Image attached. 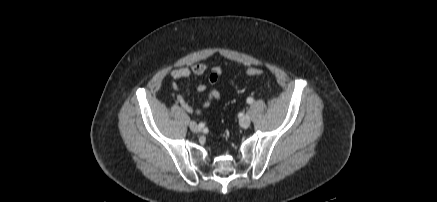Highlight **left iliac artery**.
Here are the masks:
<instances>
[{"label":"left iliac artery","instance_id":"44dca946","mask_svg":"<svg viewBox=\"0 0 437 202\" xmlns=\"http://www.w3.org/2000/svg\"><path fill=\"white\" fill-rule=\"evenodd\" d=\"M247 103L252 104L253 103V98H251V97L247 98Z\"/></svg>","mask_w":437,"mask_h":202}]
</instances>
